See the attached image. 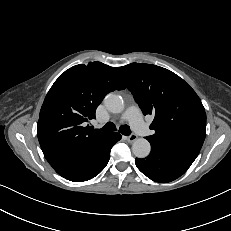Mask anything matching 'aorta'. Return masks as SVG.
<instances>
[{"label":"aorta","mask_w":231,"mask_h":231,"mask_svg":"<svg viewBox=\"0 0 231 231\" xmlns=\"http://www.w3.org/2000/svg\"><path fill=\"white\" fill-rule=\"evenodd\" d=\"M104 104L112 113H121L124 110V101L116 94H108L104 99ZM150 151L151 145L145 138H138L132 144V152L137 158L147 157Z\"/></svg>","instance_id":"obj_1"}]
</instances>
